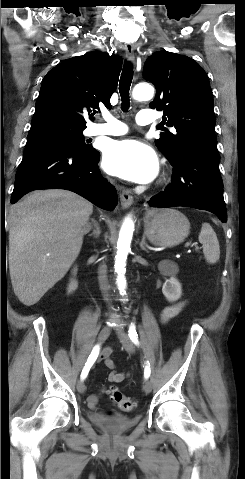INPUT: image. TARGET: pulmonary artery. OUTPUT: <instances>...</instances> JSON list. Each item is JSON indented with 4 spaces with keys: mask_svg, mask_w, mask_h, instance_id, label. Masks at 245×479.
Wrapping results in <instances>:
<instances>
[{
    "mask_svg": "<svg viewBox=\"0 0 245 479\" xmlns=\"http://www.w3.org/2000/svg\"><path fill=\"white\" fill-rule=\"evenodd\" d=\"M104 123L94 124L89 129L90 135H110L117 136L125 134L128 127L123 122L117 120L110 114L103 116ZM156 121L154 111L150 109L140 110L136 116V122L139 125H150Z\"/></svg>",
    "mask_w": 245,
    "mask_h": 479,
    "instance_id": "pulmonary-artery-1",
    "label": "pulmonary artery"
}]
</instances>
